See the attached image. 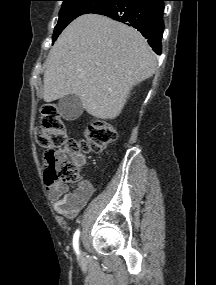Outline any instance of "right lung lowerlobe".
<instances>
[{"mask_svg":"<svg viewBox=\"0 0 216 285\" xmlns=\"http://www.w3.org/2000/svg\"><path fill=\"white\" fill-rule=\"evenodd\" d=\"M164 1L166 0H114L93 13L133 26L159 55L162 51Z\"/></svg>","mask_w":216,"mask_h":285,"instance_id":"right-lung-lower-lobe-1","label":"right lung lower lobe"}]
</instances>
